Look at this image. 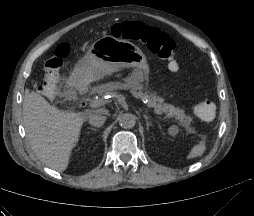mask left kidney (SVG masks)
I'll use <instances>...</instances> for the list:
<instances>
[{"instance_id": "1", "label": "left kidney", "mask_w": 254, "mask_h": 216, "mask_svg": "<svg viewBox=\"0 0 254 216\" xmlns=\"http://www.w3.org/2000/svg\"><path fill=\"white\" fill-rule=\"evenodd\" d=\"M178 132H179V130H178V127L177 126H171L170 128H169V134L171 135V136H175V135H177L178 134Z\"/></svg>"}]
</instances>
